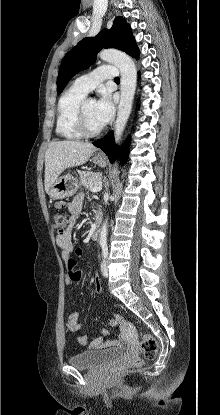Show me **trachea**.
I'll return each mask as SVG.
<instances>
[{
  "instance_id": "3493384b",
  "label": "trachea",
  "mask_w": 220,
  "mask_h": 415,
  "mask_svg": "<svg viewBox=\"0 0 220 415\" xmlns=\"http://www.w3.org/2000/svg\"><path fill=\"white\" fill-rule=\"evenodd\" d=\"M114 81H115V82H119V81H120V78H119V77H116V78L114 79Z\"/></svg>"
}]
</instances>
